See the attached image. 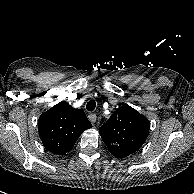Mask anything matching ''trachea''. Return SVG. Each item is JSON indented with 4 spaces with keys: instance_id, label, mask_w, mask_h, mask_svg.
Returning a JSON list of instances; mask_svg holds the SVG:
<instances>
[{
    "instance_id": "1",
    "label": "trachea",
    "mask_w": 194,
    "mask_h": 194,
    "mask_svg": "<svg viewBox=\"0 0 194 194\" xmlns=\"http://www.w3.org/2000/svg\"><path fill=\"white\" fill-rule=\"evenodd\" d=\"M95 107H96V102H95V100H90V101L87 103V105H86V109H87L88 111H94Z\"/></svg>"
}]
</instances>
